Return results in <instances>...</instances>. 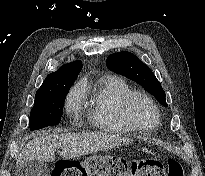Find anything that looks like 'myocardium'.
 I'll use <instances>...</instances> for the list:
<instances>
[{
	"label": "myocardium",
	"mask_w": 205,
	"mask_h": 176,
	"mask_svg": "<svg viewBox=\"0 0 205 176\" xmlns=\"http://www.w3.org/2000/svg\"><path fill=\"white\" fill-rule=\"evenodd\" d=\"M140 99L147 102L152 107V109L155 111L157 120H156V123L152 126L140 125L133 117V106L135 102ZM123 114H124L125 119L128 121V123L134 129L139 130V131H149L153 127L158 126L161 121V112L156 102L149 95L143 92H133L126 97V99L124 100V104H123Z\"/></svg>",
	"instance_id": "f54148a6"
}]
</instances>
